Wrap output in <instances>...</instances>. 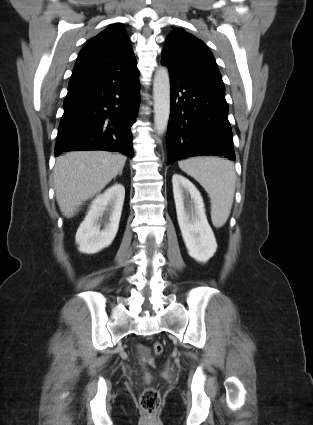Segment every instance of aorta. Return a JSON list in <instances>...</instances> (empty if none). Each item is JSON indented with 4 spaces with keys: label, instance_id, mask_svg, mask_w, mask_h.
Masks as SVG:
<instances>
[{
    "label": "aorta",
    "instance_id": "obj_1",
    "mask_svg": "<svg viewBox=\"0 0 313 425\" xmlns=\"http://www.w3.org/2000/svg\"><path fill=\"white\" fill-rule=\"evenodd\" d=\"M154 125L156 133L162 135L170 115V78L166 67H159L153 80Z\"/></svg>",
    "mask_w": 313,
    "mask_h": 425
}]
</instances>
